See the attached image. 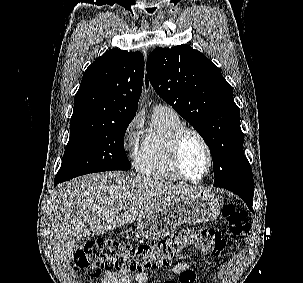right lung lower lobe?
Returning a JSON list of instances; mask_svg holds the SVG:
<instances>
[{
  "label": "right lung lower lobe",
  "instance_id": "right-lung-lower-lobe-1",
  "mask_svg": "<svg viewBox=\"0 0 303 283\" xmlns=\"http://www.w3.org/2000/svg\"><path fill=\"white\" fill-rule=\"evenodd\" d=\"M65 181L64 178H61V177H55V182H54V185L56 186L57 184L61 183Z\"/></svg>",
  "mask_w": 303,
  "mask_h": 283
}]
</instances>
